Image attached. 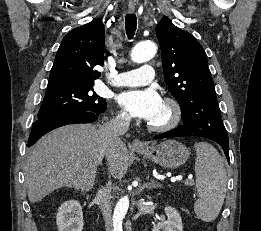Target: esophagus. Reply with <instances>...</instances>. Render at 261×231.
<instances>
[{
  "mask_svg": "<svg viewBox=\"0 0 261 231\" xmlns=\"http://www.w3.org/2000/svg\"><path fill=\"white\" fill-rule=\"evenodd\" d=\"M135 8H136L135 0L134 1L130 0L129 4H128V11L130 13H134L135 12ZM132 147L133 148H145V145L139 139H134V141L132 142Z\"/></svg>",
  "mask_w": 261,
  "mask_h": 231,
  "instance_id": "34e87169",
  "label": "esophagus"
}]
</instances>
